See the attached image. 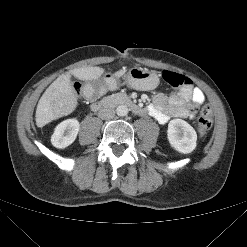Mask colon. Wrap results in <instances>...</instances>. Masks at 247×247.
<instances>
[{
    "mask_svg": "<svg viewBox=\"0 0 247 247\" xmlns=\"http://www.w3.org/2000/svg\"><path fill=\"white\" fill-rule=\"evenodd\" d=\"M163 80L173 88H184L190 87L192 85V81L179 73L165 70L162 72ZM75 89L78 91L80 86L78 84L75 85ZM198 109L197 106L192 105L190 110L196 111ZM213 124V113L212 109L209 105H205L200 114V118L198 121V133L200 136L205 135L212 127Z\"/></svg>",
    "mask_w": 247,
    "mask_h": 247,
    "instance_id": "obj_1",
    "label": "colon"
}]
</instances>
